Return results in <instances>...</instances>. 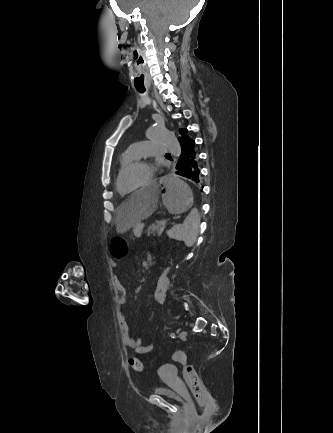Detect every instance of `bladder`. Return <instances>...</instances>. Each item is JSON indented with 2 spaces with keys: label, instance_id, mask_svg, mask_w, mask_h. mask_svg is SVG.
<instances>
[{
  "label": "bladder",
  "instance_id": "obj_1",
  "mask_svg": "<svg viewBox=\"0 0 333 433\" xmlns=\"http://www.w3.org/2000/svg\"><path fill=\"white\" fill-rule=\"evenodd\" d=\"M152 390L155 394L170 399L172 401L184 400V396L182 394L166 386H154Z\"/></svg>",
  "mask_w": 333,
  "mask_h": 433
}]
</instances>
